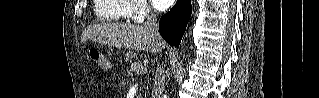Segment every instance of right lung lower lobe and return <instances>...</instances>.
<instances>
[{
  "mask_svg": "<svg viewBox=\"0 0 319 98\" xmlns=\"http://www.w3.org/2000/svg\"><path fill=\"white\" fill-rule=\"evenodd\" d=\"M191 0H177L173 8L159 22L161 36L171 46L178 47L191 16Z\"/></svg>",
  "mask_w": 319,
  "mask_h": 98,
  "instance_id": "98d812e1",
  "label": "right lung lower lobe"
}]
</instances>
